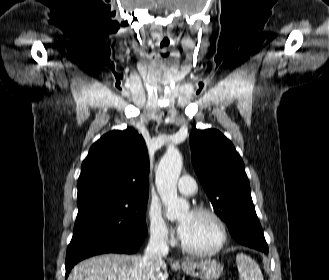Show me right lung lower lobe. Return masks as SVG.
I'll use <instances>...</instances> for the list:
<instances>
[{
  "label": "right lung lower lobe",
  "mask_w": 329,
  "mask_h": 280,
  "mask_svg": "<svg viewBox=\"0 0 329 280\" xmlns=\"http://www.w3.org/2000/svg\"><path fill=\"white\" fill-rule=\"evenodd\" d=\"M141 243L127 242L109 236H97L84 240L80 244L67 250L66 274L69 275L72 267L79 261L103 253H127L132 254L138 251Z\"/></svg>",
  "instance_id": "1"
}]
</instances>
